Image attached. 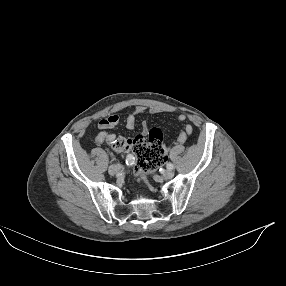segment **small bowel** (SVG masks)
Segmentation results:
<instances>
[{
    "mask_svg": "<svg viewBox=\"0 0 286 286\" xmlns=\"http://www.w3.org/2000/svg\"><path fill=\"white\" fill-rule=\"evenodd\" d=\"M146 111V108L143 106L136 107L134 113L129 114L126 116L122 121L120 117L116 114L109 115L107 117H104L100 119L98 122V128L100 132L95 136V142L97 144H111L112 141L115 138L114 134H111L108 132V130H112L117 128L120 124H123L127 129H134L136 126V117L139 114H143ZM150 113L156 114L160 113L163 110L158 107H151L148 110ZM187 119V116L185 114H179L176 116V120L179 122H183ZM148 132V125L146 123L142 124V133L147 134ZM193 133V127L190 124H186L183 128V130L179 133L176 139V143L178 145L183 144L188 136H190Z\"/></svg>",
    "mask_w": 286,
    "mask_h": 286,
    "instance_id": "obj_1",
    "label": "small bowel"
}]
</instances>
